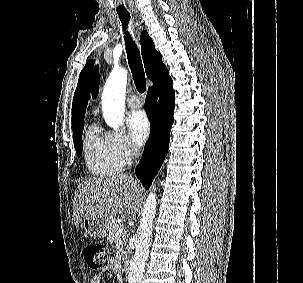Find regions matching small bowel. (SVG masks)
<instances>
[{
    "mask_svg": "<svg viewBox=\"0 0 303 283\" xmlns=\"http://www.w3.org/2000/svg\"><path fill=\"white\" fill-rule=\"evenodd\" d=\"M115 268V261L114 260H110L106 265L105 267L103 268V272H107V271H111ZM102 273L101 274H97V275H94L92 278H91V283H102Z\"/></svg>",
    "mask_w": 303,
    "mask_h": 283,
    "instance_id": "c3829d8e",
    "label": "small bowel"
}]
</instances>
